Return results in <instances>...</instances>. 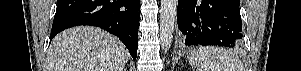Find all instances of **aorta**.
Returning <instances> with one entry per match:
<instances>
[{"label":"aorta","instance_id":"obj_1","mask_svg":"<svg viewBox=\"0 0 301 71\" xmlns=\"http://www.w3.org/2000/svg\"><path fill=\"white\" fill-rule=\"evenodd\" d=\"M177 0H161L160 10V44L167 52L171 46L177 14Z\"/></svg>","mask_w":301,"mask_h":71}]
</instances>
